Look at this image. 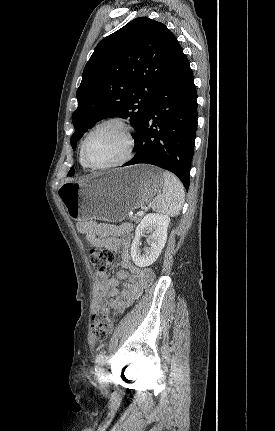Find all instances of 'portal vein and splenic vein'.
<instances>
[{
	"label": "portal vein and splenic vein",
	"instance_id": "portal-vein-and-splenic-vein-1",
	"mask_svg": "<svg viewBox=\"0 0 275 431\" xmlns=\"http://www.w3.org/2000/svg\"><path fill=\"white\" fill-rule=\"evenodd\" d=\"M146 210H147V207H142L141 210L137 212V215L139 216L143 215Z\"/></svg>",
	"mask_w": 275,
	"mask_h": 431
}]
</instances>
